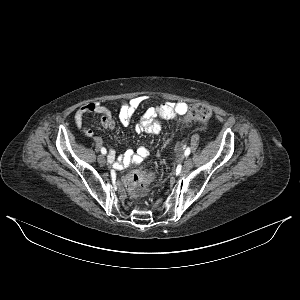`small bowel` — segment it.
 <instances>
[{
    "label": "small bowel",
    "instance_id": "obj_1",
    "mask_svg": "<svg viewBox=\"0 0 300 300\" xmlns=\"http://www.w3.org/2000/svg\"><path fill=\"white\" fill-rule=\"evenodd\" d=\"M146 100L144 96H136L127 101H121L118 106V120L127 127L130 125L136 109ZM188 109V104L182 101L166 102L159 106L149 108L142 116L140 121L134 126V131L138 134H159L162 130L160 119L174 120L180 115H183ZM97 114L100 116L101 124L108 129H113L116 126L115 118L109 108L98 102H90L79 107L74 115V121L79 129H82L84 134L92 138L93 131L84 124V116L86 114ZM99 143L101 138H97ZM149 155V150L146 147H139L136 151L131 149L126 150L123 154L116 156L114 150L110 151L108 162L114 170H122L131 163H140Z\"/></svg>",
    "mask_w": 300,
    "mask_h": 300
}]
</instances>
